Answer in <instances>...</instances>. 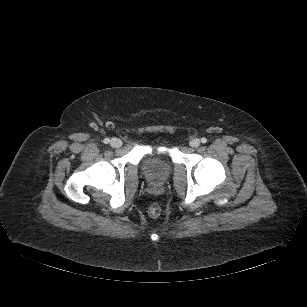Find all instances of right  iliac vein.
<instances>
[{
    "instance_id": "right-iliac-vein-1",
    "label": "right iliac vein",
    "mask_w": 307,
    "mask_h": 307,
    "mask_svg": "<svg viewBox=\"0 0 307 307\" xmlns=\"http://www.w3.org/2000/svg\"><path fill=\"white\" fill-rule=\"evenodd\" d=\"M122 140L119 138H112L110 141V145L114 148H119L122 146Z\"/></svg>"
}]
</instances>
